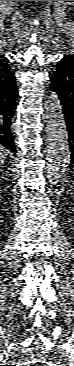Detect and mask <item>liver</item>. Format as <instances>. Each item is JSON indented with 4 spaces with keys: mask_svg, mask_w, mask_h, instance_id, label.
<instances>
[{
    "mask_svg": "<svg viewBox=\"0 0 74 366\" xmlns=\"http://www.w3.org/2000/svg\"><path fill=\"white\" fill-rule=\"evenodd\" d=\"M8 153H9V151L6 150L4 147L1 146V148H0V159H1V162H3L7 158Z\"/></svg>",
    "mask_w": 74,
    "mask_h": 366,
    "instance_id": "obj_1",
    "label": "liver"
}]
</instances>
